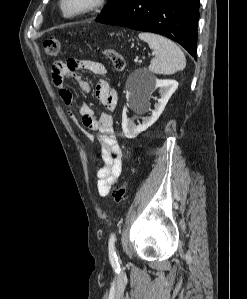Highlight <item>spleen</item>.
Returning <instances> with one entry per match:
<instances>
[{
    "label": "spleen",
    "instance_id": "3e777b00",
    "mask_svg": "<svg viewBox=\"0 0 247 299\" xmlns=\"http://www.w3.org/2000/svg\"><path fill=\"white\" fill-rule=\"evenodd\" d=\"M138 37L155 52L148 67L152 73L168 75L185 68V55L173 41L153 33H139Z\"/></svg>",
    "mask_w": 247,
    "mask_h": 299
}]
</instances>
